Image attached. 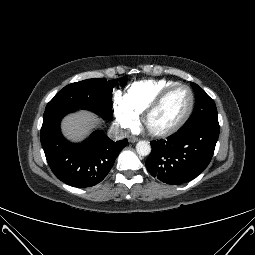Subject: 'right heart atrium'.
Returning <instances> with one entry per match:
<instances>
[{
	"mask_svg": "<svg viewBox=\"0 0 255 255\" xmlns=\"http://www.w3.org/2000/svg\"><path fill=\"white\" fill-rule=\"evenodd\" d=\"M113 112L117 123L124 130L130 131L137 127L139 116L124 102L122 97L115 98Z\"/></svg>",
	"mask_w": 255,
	"mask_h": 255,
	"instance_id": "right-heart-atrium-1",
	"label": "right heart atrium"
}]
</instances>
